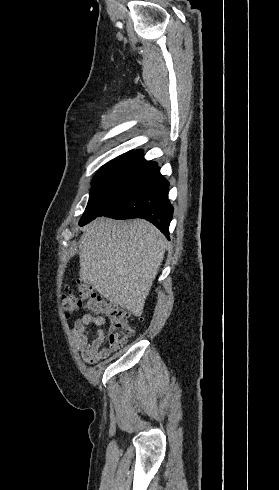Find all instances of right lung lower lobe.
I'll list each match as a JSON object with an SVG mask.
<instances>
[{
	"mask_svg": "<svg viewBox=\"0 0 279 490\" xmlns=\"http://www.w3.org/2000/svg\"><path fill=\"white\" fill-rule=\"evenodd\" d=\"M168 190L169 182L158 172L146 182L130 185L114 193L105 202L99 216L114 219L143 218L168 237L173 215Z\"/></svg>",
	"mask_w": 279,
	"mask_h": 490,
	"instance_id": "right-lung-lower-lobe-1",
	"label": "right lung lower lobe"
}]
</instances>
